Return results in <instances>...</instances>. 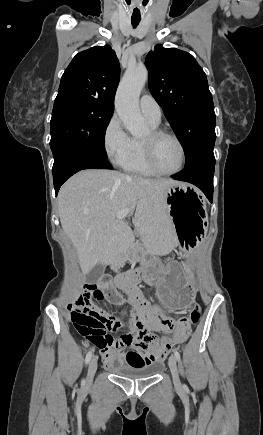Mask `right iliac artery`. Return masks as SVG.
<instances>
[{
    "mask_svg": "<svg viewBox=\"0 0 263 435\" xmlns=\"http://www.w3.org/2000/svg\"><path fill=\"white\" fill-rule=\"evenodd\" d=\"M91 357H92V351H89L86 355V358H85L86 364H88L90 362Z\"/></svg>",
    "mask_w": 263,
    "mask_h": 435,
    "instance_id": "obj_1",
    "label": "right iliac artery"
}]
</instances>
